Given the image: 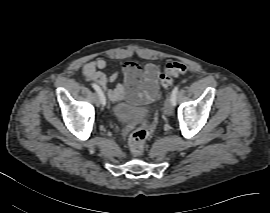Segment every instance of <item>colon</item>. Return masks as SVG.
Returning a JSON list of instances; mask_svg holds the SVG:
<instances>
[{
	"instance_id": "obj_1",
	"label": "colon",
	"mask_w": 270,
	"mask_h": 213,
	"mask_svg": "<svg viewBox=\"0 0 270 213\" xmlns=\"http://www.w3.org/2000/svg\"><path fill=\"white\" fill-rule=\"evenodd\" d=\"M188 66L179 61L169 62L160 77L161 84L164 88L170 89L173 87V77L185 73ZM156 119L153 117L146 126H142L129 133L128 146L133 156L138 157L143 154L147 137L154 131Z\"/></svg>"
}]
</instances>
